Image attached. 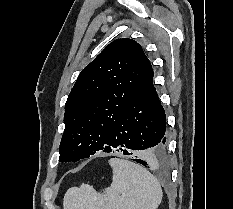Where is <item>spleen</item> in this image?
<instances>
[{
    "label": "spleen",
    "mask_w": 233,
    "mask_h": 209,
    "mask_svg": "<svg viewBox=\"0 0 233 209\" xmlns=\"http://www.w3.org/2000/svg\"><path fill=\"white\" fill-rule=\"evenodd\" d=\"M113 176L110 187L99 193L88 184L67 190L64 209H157L162 201L158 180L142 166L111 158Z\"/></svg>",
    "instance_id": "obj_1"
}]
</instances>
